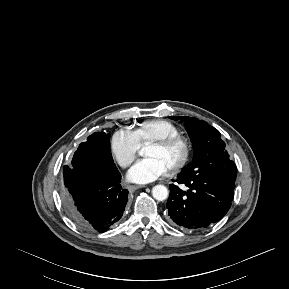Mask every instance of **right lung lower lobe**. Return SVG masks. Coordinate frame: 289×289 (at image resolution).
Segmentation results:
<instances>
[{
    "instance_id": "1",
    "label": "right lung lower lobe",
    "mask_w": 289,
    "mask_h": 289,
    "mask_svg": "<svg viewBox=\"0 0 289 289\" xmlns=\"http://www.w3.org/2000/svg\"><path fill=\"white\" fill-rule=\"evenodd\" d=\"M63 200L76 223L86 230L107 231L123 215L128 190L120 185L117 167L83 158L76 167L63 168Z\"/></svg>"
}]
</instances>
